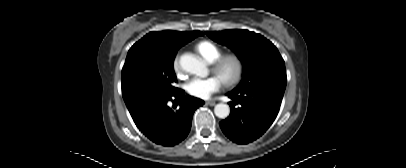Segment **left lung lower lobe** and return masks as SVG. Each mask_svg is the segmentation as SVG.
Here are the masks:
<instances>
[{
  "label": "left lung lower lobe",
  "mask_w": 406,
  "mask_h": 168,
  "mask_svg": "<svg viewBox=\"0 0 406 168\" xmlns=\"http://www.w3.org/2000/svg\"><path fill=\"white\" fill-rule=\"evenodd\" d=\"M284 92L255 89L244 93L228 94L231 113L220 122L223 133L238 144L250 143L271 126L276 118ZM239 107L235 108V105Z\"/></svg>",
  "instance_id": "left-lung-lower-lobe-1"
}]
</instances>
